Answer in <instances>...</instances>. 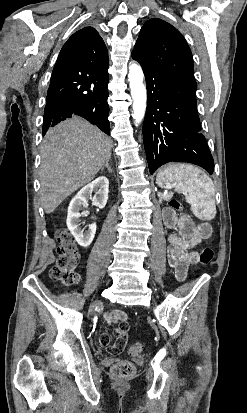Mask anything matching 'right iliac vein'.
<instances>
[{
    "mask_svg": "<svg viewBox=\"0 0 247 413\" xmlns=\"http://www.w3.org/2000/svg\"><path fill=\"white\" fill-rule=\"evenodd\" d=\"M99 302L93 303L92 306L90 307V312H92L95 308V306L98 304Z\"/></svg>",
    "mask_w": 247,
    "mask_h": 413,
    "instance_id": "1",
    "label": "right iliac vein"
}]
</instances>
